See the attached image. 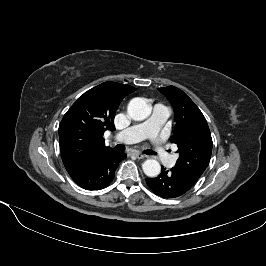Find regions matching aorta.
I'll return each mask as SVG.
<instances>
[{
	"label": "aorta",
	"mask_w": 266,
	"mask_h": 266,
	"mask_svg": "<svg viewBox=\"0 0 266 266\" xmlns=\"http://www.w3.org/2000/svg\"><path fill=\"white\" fill-rule=\"evenodd\" d=\"M128 115L135 121H142L149 115V107L141 98L132 99L127 107ZM144 173L149 177H156L161 172L160 163L154 159L146 160L142 165Z\"/></svg>",
	"instance_id": "762f6f07"
}]
</instances>
